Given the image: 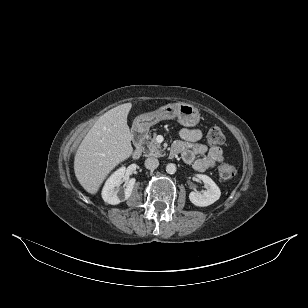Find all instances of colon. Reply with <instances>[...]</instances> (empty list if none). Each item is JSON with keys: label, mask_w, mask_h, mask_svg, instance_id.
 <instances>
[{"label": "colon", "mask_w": 308, "mask_h": 308, "mask_svg": "<svg viewBox=\"0 0 308 308\" xmlns=\"http://www.w3.org/2000/svg\"><path fill=\"white\" fill-rule=\"evenodd\" d=\"M207 141L210 146L216 147L224 142V134L218 127H213L208 131ZM235 168L229 163H223L218 167L217 174L221 182L230 181L235 175Z\"/></svg>", "instance_id": "colon-1"}]
</instances>
